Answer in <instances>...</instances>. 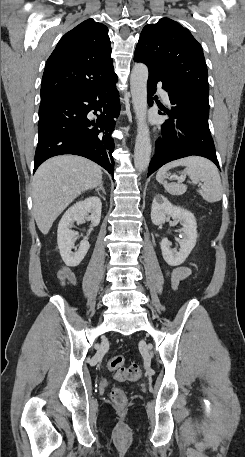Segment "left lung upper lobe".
Segmentation results:
<instances>
[{
	"mask_svg": "<svg viewBox=\"0 0 245 457\" xmlns=\"http://www.w3.org/2000/svg\"><path fill=\"white\" fill-rule=\"evenodd\" d=\"M135 59L156 69L176 87V97L209 108L208 72L201 45L179 23L162 18L146 25L135 50Z\"/></svg>",
	"mask_w": 245,
	"mask_h": 457,
	"instance_id": "5c2ea615",
	"label": "left lung upper lobe"
}]
</instances>
